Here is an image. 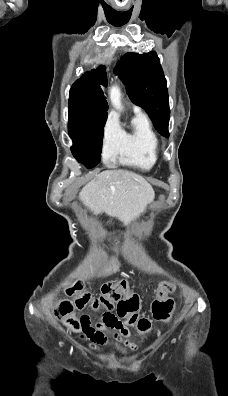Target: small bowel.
Instances as JSON below:
<instances>
[{"mask_svg": "<svg viewBox=\"0 0 228 396\" xmlns=\"http://www.w3.org/2000/svg\"><path fill=\"white\" fill-rule=\"evenodd\" d=\"M103 329L105 328H99V329L93 328L88 323L83 326L82 337L88 339L90 343L95 347L103 345L106 342V337L104 335ZM115 330H117V333H115L114 337L117 340L122 341L124 344L134 348V345L128 341V338L130 336V331L127 327H122L120 329H115Z\"/></svg>", "mask_w": 228, "mask_h": 396, "instance_id": "small-bowel-1", "label": "small bowel"}]
</instances>
